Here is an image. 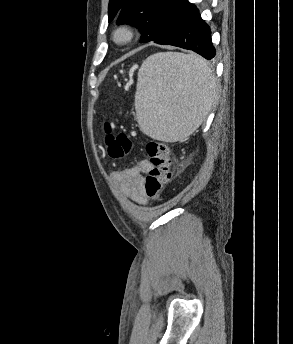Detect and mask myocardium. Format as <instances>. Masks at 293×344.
Wrapping results in <instances>:
<instances>
[{"mask_svg":"<svg viewBox=\"0 0 293 344\" xmlns=\"http://www.w3.org/2000/svg\"><path fill=\"white\" fill-rule=\"evenodd\" d=\"M134 37V32L132 28L127 24L119 25L114 31H113V40L117 44H127L130 41H132Z\"/></svg>","mask_w":293,"mask_h":344,"instance_id":"f54148a6","label":"myocardium"}]
</instances>
